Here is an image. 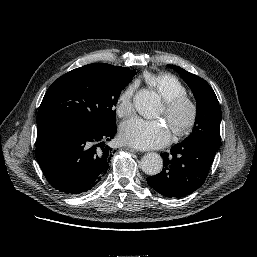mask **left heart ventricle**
<instances>
[{
    "label": "left heart ventricle",
    "mask_w": 257,
    "mask_h": 257,
    "mask_svg": "<svg viewBox=\"0 0 257 257\" xmlns=\"http://www.w3.org/2000/svg\"><path fill=\"white\" fill-rule=\"evenodd\" d=\"M161 114H163V106L161 107V110H160V112H159V115H161ZM184 115H185V111L182 113L181 117H184ZM166 121H167L169 127H170L171 130H172V128H173V126H174V121H173V120H169V119H166Z\"/></svg>",
    "instance_id": "left-heart-ventricle-1"
}]
</instances>
